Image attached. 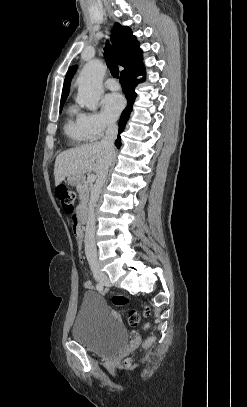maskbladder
I'll return each mask as SVG.
<instances>
[{
  "label": "bladder",
  "instance_id": "1",
  "mask_svg": "<svg viewBox=\"0 0 247 407\" xmlns=\"http://www.w3.org/2000/svg\"><path fill=\"white\" fill-rule=\"evenodd\" d=\"M72 337L93 352L113 355L126 346L128 331L104 298L90 292L83 297L72 327Z\"/></svg>",
  "mask_w": 247,
  "mask_h": 407
}]
</instances>
